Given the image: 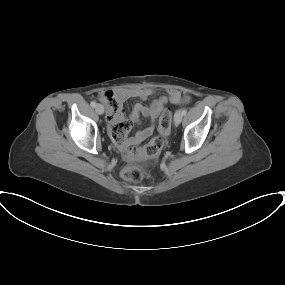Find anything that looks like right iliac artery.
<instances>
[{"mask_svg":"<svg viewBox=\"0 0 285 285\" xmlns=\"http://www.w3.org/2000/svg\"><path fill=\"white\" fill-rule=\"evenodd\" d=\"M90 105H91L92 107H95V106H96V102L92 101V102L90 103Z\"/></svg>","mask_w":285,"mask_h":285,"instance_id":"1","label":"right iliac artery"}]
</instances>
